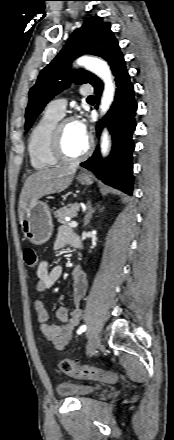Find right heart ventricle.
<instances>
[{
    "label": "right heart ventricle",
    "mask_w": 174,
    "mask_h": 440,
    "mask_svg": "<svg viewBox=\"0 0 174 440\" xmlns=\"http://www.w3.org/2000/svg\"><path fill=\"white\" fill-rule=\"evenodd\" d=\"M61 116L47 110L33 126L28 137V154L31 166L36 170L56 167L59 162L51 152V140L55 125Z\"/></svg>",
    "instance_id": "e07e8e85"
}]
</instances>
